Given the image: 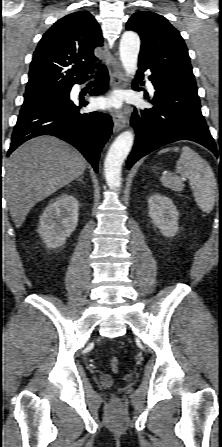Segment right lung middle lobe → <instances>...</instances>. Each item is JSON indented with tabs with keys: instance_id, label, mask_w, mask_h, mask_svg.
<instances>
[{
	"instance_id": "right-lung-middle-lobe-1",
	"label": "right lung middle lobe",
	"mask_w": 222,
	"mask_h": 447,
	"mask_svg": "<svg viewBox=\"0 0 222 447\" xmlns=\"http://www.w3.org/2000/svg\"><path fill=\"white\" fill-rule=\"evenodd\" d=\"M68 94L69 91H62L56 93L24 96V103L22 105L20 113L30 112L45 107L47 105L59 102L64 98H66Z\"/></svg>"
}]
</instances>
